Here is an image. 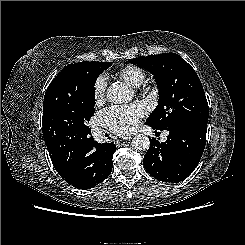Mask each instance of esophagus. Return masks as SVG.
<instances>
[{
    "label": "esophagus",
    "mask_w": 245,
    "mask_h": 245,
    "mask_svg": "<svg viewBox=\"0 0 245 245\" xmlns=\"http://www.w3.org/2000/svg\"><path fill=\"white\" fill-rule=\"evenodd\" d=\"M131 138L132 137H126V138H124L123 140L121 139V140H118V143H123L124 141H130L131 140Z\"/></svg>",
    "instance_id": "34e87169"
}]
</instances>
